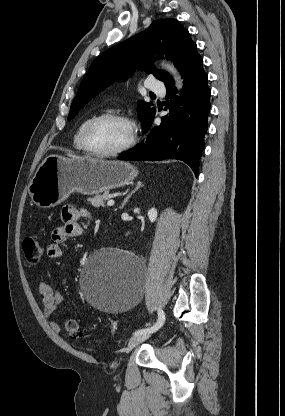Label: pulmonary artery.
<instances>
[{"label": "pulmonary artery", "instance_id": "pulmonary-artery-1", "mask_svg": "<svg viewBox=\"0 0 285 416\" xmlns=\"http://www.w3.org/2000/svg\"><path fill=\"white\" fill-rule=\"evenodd\" d=\"M145 86L151 90L152 95H164L165 93L164 85L156 83L153 79H146Z\"/></svg>", "mask_w": 285, "mask_h": 416}]
</instances>
